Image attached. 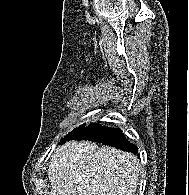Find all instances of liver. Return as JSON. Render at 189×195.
Segmentation results:
<instances>
[{"label": "liver", "mask_w": 189, "mask_h": 195, "mask_svg": "<svg viewBox=\"0 0 189 195\" xmlns=\"http://www.w3.org/2000/svg\"><path fill=\"white\" fill-rule=\"evenodd\" d=\"M136 156L92 142L69 141L57 148L49 166L51 195H135Z\"/></svg>", "instance_id": "1"}]
</instances>
